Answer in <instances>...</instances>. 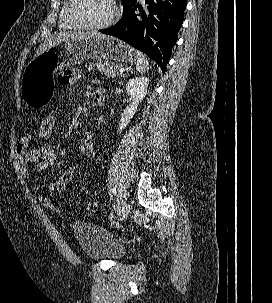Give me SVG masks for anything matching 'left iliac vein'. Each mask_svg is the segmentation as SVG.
<instances>
[{
	"mask_svg": "<svg viewBox=\"0 0 272 303\" xmlns=\"http://www.w3.org/2000/svg\"><path fill=\"white\" fill-rule=\"evenodd\" d=\"M130 209H131L130 204L124 203V205L121 208V212L119 214V218L121 221L127 218V216L129 215Z\"/></svg>",
	"mask_w": 272,
	"mask_h": 303,
	"instance_id": "left-iliac-vein-1",
	"label": "left iliac vein"
}]
</instances>
